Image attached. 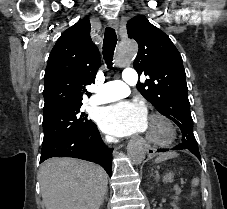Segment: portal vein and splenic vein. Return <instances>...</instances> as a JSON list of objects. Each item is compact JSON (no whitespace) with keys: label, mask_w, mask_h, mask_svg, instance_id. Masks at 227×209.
I'll return each instance as SVG.
<instances>
[{"label":"portal vein and splenic vein","mask_w":227,"mask_h":209,"mask_svg":"<svg viewBox=\"0 0 227 209\" xmlns=\"http://www.w3.org/2000/svg\"><path fill=\"white\" fill-rule=\"evenodd\" d=\"M177 184L180 185L181 183L178 182ZM180 190H181V189L178 188L177 185H174V186H173V189H172L171 191H172V192L175 191V193H176L177 195H180V194L182 193Z\"/></svg>","instance_id":"18ae733b"}]
</instances>
